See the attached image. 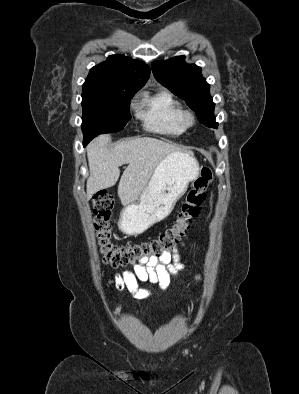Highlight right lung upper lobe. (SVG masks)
<instances>
[{"instance_id": "cb5924a9", "label": "right lung upper lobe", "mask_w": 299, "mask_h": 394, "mask_svg": "<svg viewBox=\"0 0 299 394\" xmlns=\"http://www.w3.org/2000/svg\"><path fill=\"white\" fill-rule=\"evenodd\" d=\"M150 75L148 65L140 60L123 55H111L108 59L90 69L82 90L100 92L115 90L138 91Z\"/></svg>"}]
</instances>
